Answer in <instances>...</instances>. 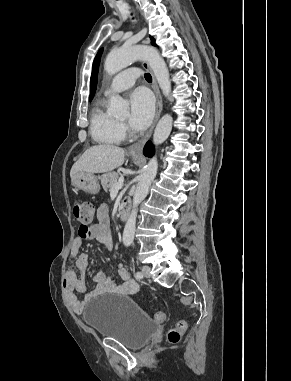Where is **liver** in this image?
I'll use <instances>...</instances> for the list:
<instances>
[{"instance_id": "liver-1", "label": "liver", "mask_w": 291, "mask_h": 381, "mask_svg": "<svg viewBox=\"0 0 291 381\" xmlns=\"http://www.w3.org/2000/svg\"><path fill=\"white\" fill-rule=\"evenodd\" d=\"M125 150L115 145L101 144L88 148L71 168V179L79 173H106L124 163Z\"/></svg>"}]
</instances>
